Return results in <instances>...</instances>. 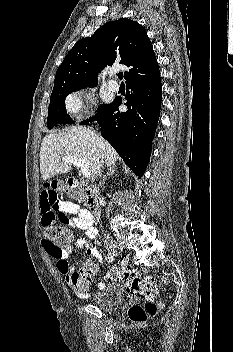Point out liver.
Segmentation results:
<instances>
[{"label":"liver","instance_id":"liver-1","mask_svg":"<svg viewBox=\"0 0 233 352\" xmlns=\"http://www.w3.org/2000/svg\"><path fill=\"white\" fill-rule=\"evenodd\" d=\"M65 156L87 161L92 181H95L99 171H102L101 165L113 167L118 159L114 148L94 131L82 126L71 127L44 137L40 148V171L43 180L71 171L72 163L58 161Z\"/></svg>","mask_w":233,"mask_h":352}]
</instances>
